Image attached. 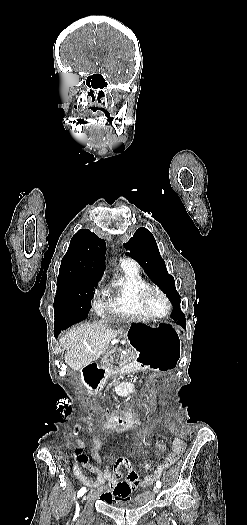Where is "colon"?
Segmentation results:
<instances>
[{"label": "colon", "mask_w": 247, "mask_h": 525, "mask_svg": "<svg viewBox=\"0 0 247 525\" xmlns=\"http://www.w3.org/2000/svg\"><path fill=\"white\" fill-rule=\"evenodd\" d=\"M148 386H151V383H148ZM146 408H149V405H146ZM142 418H145V415H142ZM148 423H151V420H148ZM93 424H96L99 427H108L110 431H119V432H133L136 428L143 427V424L140 423L137 418H124V417H109V418H99L96 421H93ZM74 436L80 435L79 429L73 430ZM145 470L148 469V466L143 467Z\"/></svg>", "instance_id": "colon-1"}]
</instances>
